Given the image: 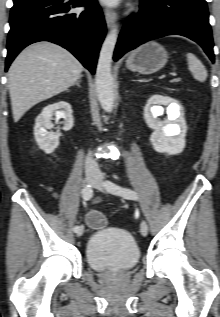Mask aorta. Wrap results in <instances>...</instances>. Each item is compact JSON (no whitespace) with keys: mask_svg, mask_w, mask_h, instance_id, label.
<instances>
[{"mask_svg":"<svg viewBox=\"0 0 220 317\" xmlns=\"http://www.w3.org/2000/svg\"><path fill=\"white\" fill-rule=\"evenodd\" d=\"M117 37L118 27L114 26L101 46L95 75L98 100L102 109L108 113L113 111L115 100L111 66Z\"/></svg>","mask_w":220,"mask_h":317,"instance_id":"762f6f07","label":"aorta"}]
</instances>
